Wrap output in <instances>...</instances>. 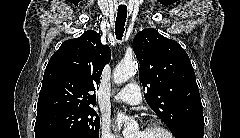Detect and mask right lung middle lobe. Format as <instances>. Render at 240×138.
I'll return each instance as SVG.
<instances>
[{"mask_svg":"<svg viewBox=\"0 0 240 138\" xmlns=\"http://www.w3.org/2000/svg\"><path fill=\"white\" fill-rule=\"evenodd\" d=\"M100 119L92 108H67L38 114L34 131H59L76 138H99Z\"/></svg>","mask_w":240,"mask_h":138,"instance_id":"obj_1","label":"right lung middle lobe"}]
</instances>
